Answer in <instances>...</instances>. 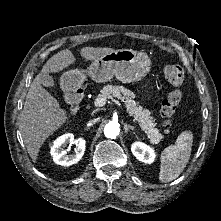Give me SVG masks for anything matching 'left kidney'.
Wrapping results in <instances>:
<instances>
[{"mask_svg":"<svg viewBox=\"0 0 221 221\" xmlns=\"http://www.w3.org/2000/svg\"><path fill=\"white\" fill-rule=\"evenodd\" d=\"M131 151L139 161L146 164L153 163L156 157L154 149L142 142L133 143L131 146Z\"/></svg>","mask_w":221,"mask_h":221,"instance_id":"left-kidney-1","label":"left kidney"}]
</instances>
